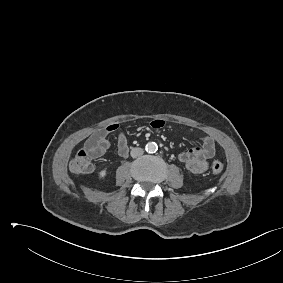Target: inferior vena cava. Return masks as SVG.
Listing matches in <instances>:
<instances>
[{"label":"inferior vena cava","instance_id":"1","mask_svg":"<svg viewBox=\"0 0 283 283\" xmlns=\"http://www.w3.org/2000/svg\"><path fill=\"white\" fill-rule=\"evenodd\" d=\"M143 149L142 148H133L132 150H131V156L133 157V158H136V157H139V156H141L142 154H143Z\"/></svg>","mask_w":283,"mask_h":283}]
</instances>
